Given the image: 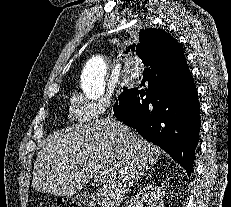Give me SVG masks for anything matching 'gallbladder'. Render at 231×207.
I'll return each mask as SVG.
<instances>
[{
	"label": "gallbladder",
	"instance_id": "1",
	"mask_svg": "<svg viewBox=\"0 0 231 207\" xmlns=\"http://www.w3.org/2000/svg\"><path fill=\"white\" fill-rule=\"evenodd\" d=\"M78 201H82L88 207H93L96 205V199L93 194L88 192H81L78 193L75 197Z\"/></svg>",
	"mask_w": 231,
	"mask_h": 207
}]
</instances>
